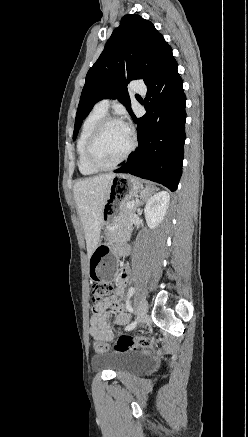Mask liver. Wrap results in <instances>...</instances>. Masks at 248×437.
I'll return each mask as SVG.
<instances>
[{
  "mask_svg": "<svg viewBox=\"0 0 248 437\" xmlns=\"http://www.w3.org/2000/svg\"><path fill=\"white\" fill-rule=\"evenodd\" d=\"M114 173L102 174L79 180L73 187L77 211L81 219L88 258L100 240L102 213Z\"/></svg>",
  "mask_w": 248,
  "mask_h": 437,
  "instance_id": "liver-1",
  "label": "liver"
}]
</instances>
